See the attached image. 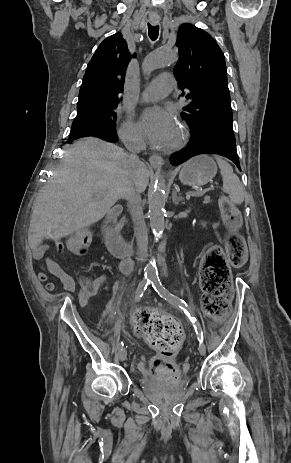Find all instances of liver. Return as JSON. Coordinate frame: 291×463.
Returning <instances> with one entry per match:
<instances>
[{
    "mask_svg": "<svg viewBox=\"0 0 291 463\" xmlns=\"http://www.w3.org/2000/svg\"><path fill=\"white\" fill-rule=\"evenodd\" d=\"M133 178L140 193L144 192L149 170L142 162L133 168L120 147L93 137L75 142L36 198L28 235L31 248L36 249L44 239H60L101 220L124 198Z\"/></svg>",
    "mask_w": 291,
    "mask_h": 463,
    "instance_id": "6515ba94",
    "label": "liver"
}]
</instances>
